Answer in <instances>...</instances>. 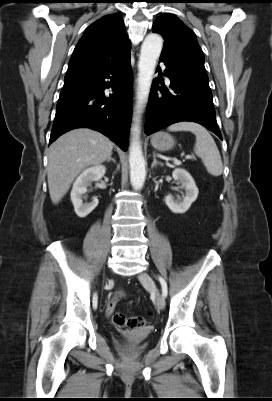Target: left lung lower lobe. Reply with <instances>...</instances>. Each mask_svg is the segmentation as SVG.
Here are the masks:
<instances>
[{"label": "left lung lower lobe", "mask_w": 272, "mask_h": 401, "mask_svg": "<svg viewBox=\"0 0 272 401\" xmlns=\"http://www.w3.org/2000/svg\"><path fill=\"white\" fill-rule=\"evenodd\" d=\"M170 79V90L162 75L155 78L147 107L145 133L150 135L180 121L199 123L222 139L215 116L208 76L168 58L160 57ZM162 84V87L159 86Z\"/></svg>", "instance_id": "left-lung-lower-lobe-1"}]
</instances>
